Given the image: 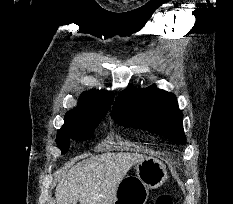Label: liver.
Instances as JSON below:
<instances>
[{"mask_svg":"<svg viewBox=\"0 0 233 204\" xmlns=\"http://www.w3.org/2000/svg\"><path fill=\"white\" fill-rule=\"evenodd\" d=\"M144 158L137 153L113 152L76 163L56 187V204H112L120 182Z\"/></svg>","mask_w":233,"mask_h":204,"instance_id":"obj_1","label":"liver"}]
</instances>
